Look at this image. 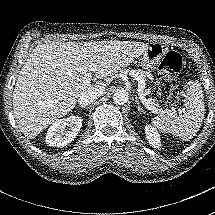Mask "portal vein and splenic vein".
<instances>
[{"instance_id":"18ae733b","label":"portal vein and splenic vein","mask_w":215,"mask_h":215,"mask_svg":"<svg viewBox=\"0 0 215 215\" xmlns=\"http://www.w3.org/2000/svg\"><path fill=\"white\" fill-rule=\"evenodd\" d=\"M94 71V69L93 68H91L90 70H89V72H87V73H85L84 74V81L86 82V83H91V80H92V72ZM130 75L132 76V77H134L135 78V80H137L138 81V92H139V97H140V99L143 101V103H144V106L148 109V110H150L152 113H155V114H159V113H161V112H169L170 110H168V109H166V110H161V109H158L155 105H154V103L152 102V101H150L149 99H146L145 98V96H146V94H145V92H144V90H145V80H144V78H142L138 73H136L135 71H130Z\"/></svg>"}]
</instances>
